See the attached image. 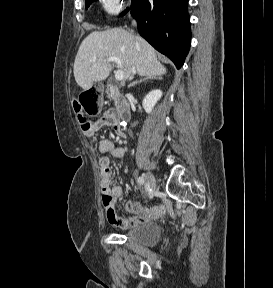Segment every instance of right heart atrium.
Segmentation results:
<instances>
[{"label":"right heart atrium","mask_w":273,"mask_h":288,"mask_svg":"<svg viewBox=\"0 0 273 288\" xmlns=\"http://www.w3.org/2000/svg\"><path fill=\"white\" fill-rule=\"evenodd\" d=\"M127 0H101L104 11L109 15L118 14L125 6Z\"/></svg>","instance_id":"1"}]
</instances>
